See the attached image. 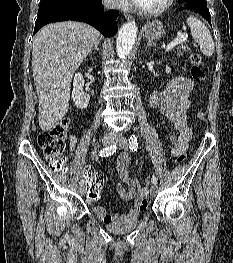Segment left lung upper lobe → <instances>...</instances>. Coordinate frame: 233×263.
Returning <instances> with one entry per match:
<instances>
[{
  "mask_svg": "<svg viewBox=\"0 0 233 263\" xmlns=\"http://www.w3.org/2000/svg\"><path fill=\"white\" fill-rule=\"evenodd\" d=\"M179 3H196V4H206V0H178Z\"/></svg>",
  "mask_w": 233,
  "mask_h": 263,
  "instance_id": "5c2ea615",
  "label": "left lung upper lobe"
}]
</instances>
